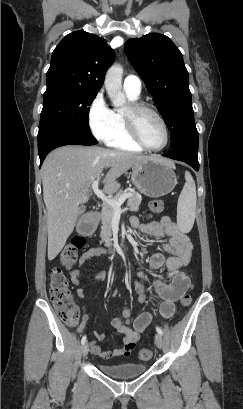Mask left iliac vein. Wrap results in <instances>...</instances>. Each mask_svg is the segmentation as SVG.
Returning a JSON list of instances; mask_svg holds the SVG:
<instances>
[{
  "mask_svg": "<svg viewBox=\"0 0 243 409\" xmlns=\"http://www.w3.org/2000/svg\"><path fill=\"white\" fill-rule=\"evenodd\" d=\"M155 344L158 348H162L163 346V338L160 334L155 335Z\"/></svg>",
  "mask_w": 243,
  "mask_h": 409,
  "instance_id": "obj_1",
  "label": "left iliac vein"
}]
</instances>
